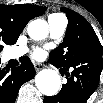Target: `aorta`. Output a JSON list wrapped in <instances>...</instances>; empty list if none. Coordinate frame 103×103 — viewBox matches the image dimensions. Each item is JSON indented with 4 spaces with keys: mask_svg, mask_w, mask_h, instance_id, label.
Wrapping results in <instances>:
<instances>
[{
    "mask_svg": "<svg viewBox=\"0 0 103 103\" xmlns=\"http://www.w3.org/2000/svg\"><path fill=\"white\" fill-rule=\"evenodd\" d=\"M27 31L32 39L43 40L48 35V24L45 20L36 19L28 25ZM35 83L43 95L54 96L59 91L61 79L56 71L45 69L36 75Z\"/></svg>",
    "mask_w": 103,
    "mask_h": 103,
    "instance_id": "1",
    "label": "aorta"
}]
</instances>
